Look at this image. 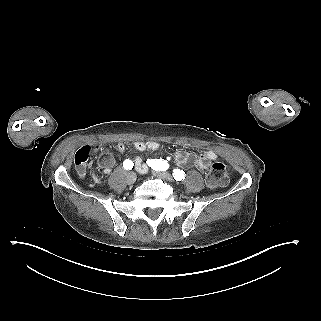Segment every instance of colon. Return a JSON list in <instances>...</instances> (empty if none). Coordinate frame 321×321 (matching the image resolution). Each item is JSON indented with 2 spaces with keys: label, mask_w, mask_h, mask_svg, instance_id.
<instances>
[{
  "label": "colon",
  "mask_w": 321,
  "mask_h": 321,
  "mask_svg": "<svg viewBox=\"0 0 321 321\" xmlns=\"http://www.w3.org/2000/svg\"><path fill=\"white\" fill-rule=\"evenodd\" d=\"M75 165L80 174L86 172V159L84 157H75ZM228 181V171L226 166L222 162H214L207 175L206 182L209 187H221L224 186Z\"/></svg>",
  "instance_id": "obj_1"
}]
</instances>
